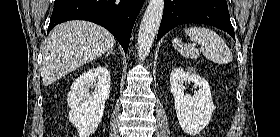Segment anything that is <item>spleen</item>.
Listing matches in <instances>:
<instances>
[{"label": "spleen", "instance_id": "1", "mask_svg": "<svg viewBox=\"0 0 280 137\" xmlns=\"http://www.w3.org/2000/svg\"><path fill=\"white\" fill-rule=\"evenodd\" d=\"M185 35L189 36L192 42L199 44L200 48L184 44L181 39L175 38L173 46L183 57L196 59L202 52L207 59L213 62L219 64L232 62L233 55L230 48L215 31L206 27L194 26L185 29Z\"/></svg>", "mask_w": 280, "mask_h": 137}]
</instances>
